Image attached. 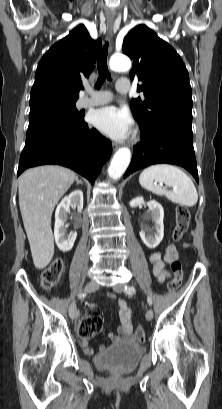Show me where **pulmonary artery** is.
<instances>
[{"label":"pulmonary artery","mask_w":222,"mask_h":409,"mask_svg":"<svg viewBox=\"0 0 222 409\" xmlns=\"http://www.w3.org/2000/svg\"><path fill=\"white\" fill-rule=\"evenodd\" d=\"M116 90L119 93H128L130 87L119 81L116 83ZM87 95L80 98L78 105L80 107H91L96 105H102L110 102L112 100V93L110 91H94L90 86H86Z\"/></svg>","instance_id":"e3ab8cb5"}]
</instances>
